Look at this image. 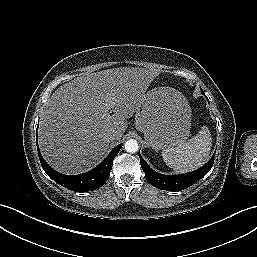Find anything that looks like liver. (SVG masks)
<instances>
[{"label": "liver", "instance_id": "obj_1", "mask_svg": "<svg viewBox=\"0 0 257 257\" xmlns=\"http://www.w3.org/2000/svg\"><path fill=\"white\" fill-rule=\"evenodd\" d=\"M156 69L122 67L83 74L60 86L41 115L38 139L44 159L64 174L95 166L109 148L105 133L120 140L158 75ZM110 111L113 112L110 115Z\"/></svg>", "mask_w": 257, "mask_h": 257}]
</instances>
